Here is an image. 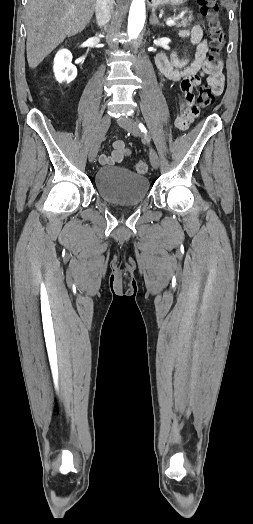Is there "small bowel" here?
I'll return each mask as SVG.
<instances>
[{"label":"small bowel","instance_id":"1","mask_svg":"<svg viewBox=\"0 0 253 524\" xmlns=\"http://www.w3.org/2000/svg\"><path fill=\"white\" fill-rule=\"evenodd\" d=\"M182 37H189L196 45L194 59H181L178 50H174L170 56L159 54L156 58L158 75L162 79L180 82L181 96L183 102L179 104L182 116L177 118L175 125L178 129L192 127L196 118H199L203 107L197 101V88L200 84L202 75L207 72L208 84L216 96L222 95L224 91V75L220 64L213 65L207 60L208 44L203 36L200 25H195L190 31H183ZM111 154L99 156V163L102 165H115L130 154V150L125 147L122 140H116L112 144Z\"/></svg>","mask_w":253,"mask_h":524}]
</instances>
